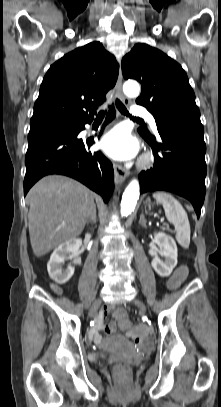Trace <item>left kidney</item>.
<instances>
[{
	"mask_svg": "<svg viewBox=\"0 0 221 407\" xmlns=\"http://www.w3.org/2000/svg\"><path fill=\"white\" fill-rule=\"evenodd\" d=\"M154 241L160 247L164 260L161 261L155 256L151 265L159 276L167 277L177 265V245L174 239L164 232L155 233Z\"/></svg>",
	"mask_w": 221,
	"mask_h": 407,
	"instance_id": "obj_1",
	"label": "left kidney"
}]
</instances>
